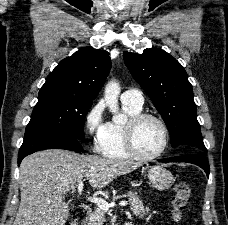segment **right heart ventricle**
Returning a JSON list of instances; mask_svg holds the SVG:
<instances>
[{"label":"right heart ventricle","mask_w":228,"mask_h":225,"mask_svg":"<svg viewBox=\"0 0 228 225\" xmlns=\"http://www.w3.org/2000/svg\"><path fill=\"white\" fill-rule=\"evenodd\" d=\"M123 110L128 117L142 112V107L123 104ZM125 126L126 123L110 122L106 134L100 140L97 150L105 157L125 159L132 158L126 146L125 141Z\"/></svg>","instance_id":"right-heart-ventricle-1"}]
</instances>
